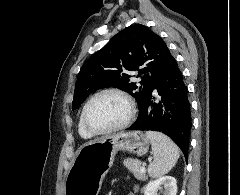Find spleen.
Masks as SVG:
<instances>
[{
    "mask_svg": "<svg viewBox=\"0 0 240 195\" xmlns=\"http://www.w3.org/2000/svg\"><path fill=\"white\" fill-rule=\"evenodd\" d=\"M146 137L150 139L153 161L148 165L150 177H161L168 173L179 159L180 149L168 135L161 131H146Z\"/></svg>",
    "mask_w": 240,
    "mask_h": 195,
    "instance_id": "3e777b00",
    "label": "spleen"
}]
</instances>
